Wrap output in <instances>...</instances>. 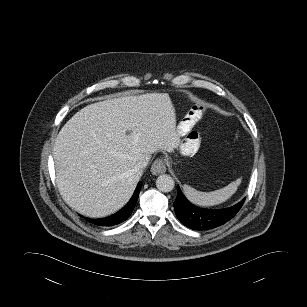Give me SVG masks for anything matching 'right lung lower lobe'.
I'll list each match as a JSON object with an SVG mask.
<instances>
[{
	"label": "right lung lower lobe",
	"instance_id": "1",
	"mask_svg": "<svg viewBox=\"0 0 307 307\" xmlns=\"http://www.w3.org/2000/svg\"><path fill=\"white\" fill-rule=\"evenodd\" d=\"M141 186H142V182H139L132 198L130 199V201L121 210H119L117 213H115V214H113L109 217L102 218V219L86 218V220L88 222L96 225V226H101V227L114 226V225H117V224L125 221L131 215V213H132V211H133V209L136 205Z\"/></svg>",
	"mask_w": 307,
	"mask_h": 307
}]
</instances>
